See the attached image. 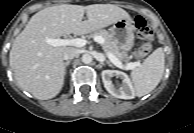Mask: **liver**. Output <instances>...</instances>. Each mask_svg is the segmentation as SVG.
<instances>
[{
    "mask_svg": "<svg viewBox=\"0 0 194 133\" xmlns=\"http://www.w3.org/2000/svg\"><path fill=\"white\" fill-rule=\"evenodd\" d=\"M84 13L87 20L82 21ZM122 18L130 16L112 4H62L37 12L14 39L9 53L10 67L17 84L37 99L55 97L64 84L63 54L68 47H54L44 39L88 34Z\"/></svg>",
    "mask_w": 194,
    "mask_h": 133,
    "instance_id": "obj_1",
    "label": "liver"
}]
</instances>
